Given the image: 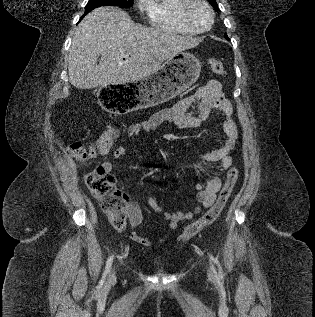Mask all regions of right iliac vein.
I'll return each instance as SVG.
<instances>
[{"instance_id":"right-iliac-vein-1","label":"right iliac vein","mask_w":315,"mask_h":317,"mask_svg":"<svg viewBox=\"0 0 315 317\" xmlns=\"http://www.w3.org/2000/svg\"><path fill=\"white\" fill-rule=\"evenodd\" d=\"M116 279V272L113 270L108 278V283H112Z\"/></svg>"}]
</instances>
